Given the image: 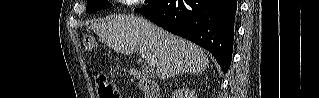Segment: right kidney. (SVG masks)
Instances as JSON below:
<instances>
[{"instance_id":"1","label":"right kidney","mask_w":319,"mask_h":98,"mask_svg":"<svg viewBox=\"0 0 319 98\" xmlns=\"http://www.w3.org/2000/svg\"><path fill=\"white\" fill-rule=\"evenodd\" d=\"M185 93H187L189 95L190 98L195 97L193 92L186 90Z\"/></svg>"}]
</instances>
